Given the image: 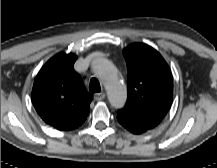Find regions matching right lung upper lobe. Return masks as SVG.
I'll return each instance as SVG.
<instances>
[{"instance_id": "1", "label": "right lung upper lobe", "mask_w": 217, "mask_h": 168, "mask_svg": "<svg viewBox=\"0 0 217 168\" xmlns=\"http://www.w3.org/2000/svg\"><path fill=\"white\" fill-rule=\"evenodd\" d=\"M76 59L75 54L64 52L52 57L37 74L32 89V102L39 116L61 131L78 128L90 110L92 95L73 69Z\"/></svg>"}]
</instances>
